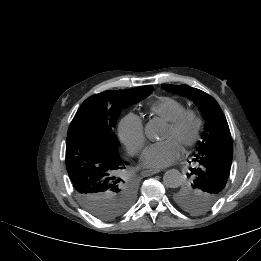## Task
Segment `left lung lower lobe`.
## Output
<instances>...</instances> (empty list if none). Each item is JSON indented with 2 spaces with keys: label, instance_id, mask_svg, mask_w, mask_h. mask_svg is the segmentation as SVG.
I'll return each instance as SVG.
<instances>
[{
  "label": "left lung lower lobe",
  "instance_id": "obj_1",
  "mask_svg": "<svg viewBox=\"0 0 261 261\" xmlns=\"http://www.w3.org/2000/svg\"><path fill=\"white\" fill-rule=\"evenodd\" d=\"M196 158V157H195ZM192 169V168H191ZM199 173V175L197 176V177H199V176H203V173H204V171H200V172H198Z\"/></svg>",
  "mask_w": 261,
  "mask_h": 261
}]
</instances>
